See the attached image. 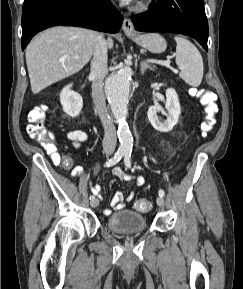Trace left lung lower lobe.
Listing matches in <instances>:
<instances>
[{"mask_svg": "<svg viewBox=\"0 0 243 289\" xmlns=\"http://www.w3.org/2000/svg\"><path fill=\"white\" fill-rule=\"evenodd\" d=\"M131 20L138 31L188 35L208 51L204 0H152L148 11L132 16Z\"/></svg>", "mask_w": 243, "mask_h": 289, "instance_id": "1", "label": "left lung lower lobe"}]
</instances>
